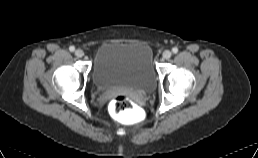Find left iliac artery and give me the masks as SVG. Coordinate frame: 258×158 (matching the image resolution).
<instances>
[{
  "mask_svg": "<svg viewBox=\"0 0 258 158\" xmlns=\"http://www.w3.org/2000/svg\"><path fill=\"white\" fill-rule=\"evenodd\" d=\"M172 52H173L174 54H176V53L178 52V48H177V47L172 48Z\"/></svg>",
  "mask_w": 258,
  "mask_h": 158,
  "instance_id": "1",
  "label": "left iliac artery"
}]
</instances>
